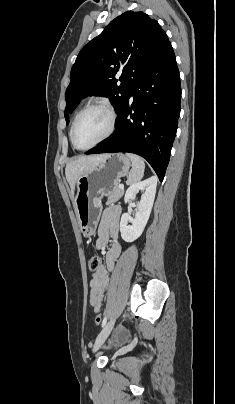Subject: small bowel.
<instances>
[{
  "mask_svg": "<svg viewBox=\"0 0 235 404\" xmlns=\"http://www.w3.org/2000/svg\"><path fill=\"white\" fill-rule=\"evenodd\" d=\"M121 209L110 207L104 211L98 231L96 247L104 249L110 242L105 252V264L93 272L90 281L89 302L94 312L98 313L103 305L104 292L108 286L110 275L121 253V245L117 241L120 226Z\"/></svg>",
  "mask_w": 235,
  "mask_h": 404,
  "instance_id": "small-bowel-1",
  "label": "small bowel"
}]
</instances>
